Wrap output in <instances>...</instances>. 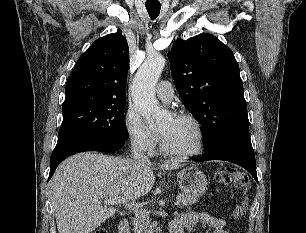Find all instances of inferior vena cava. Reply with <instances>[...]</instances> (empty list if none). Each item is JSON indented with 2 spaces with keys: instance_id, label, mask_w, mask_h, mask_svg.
Segmentation results:
<instances>
[{
  "instance_id": "obj_1",
  "label": "inferior vena cava",
  "mask_w": 306,
  "mask_h": 233,
  "mask_svg": "<svg viewBox=\"0 0 306 233\" xmlns=\"http://www.w3.org/2000/svg\"><path fill=\"white\" fill-rule=\"evenodd\" d=\"M131 157L138 164H145L149 162L148 157H146L144 154V146L141 143H136L132 146ZM134 214L138 219L139 224L145 227L144 233H151L149 230H147V227L149 226V218L147 213L142 208L138 207L134 210Z\"/></svg>"
}]
</instances>
